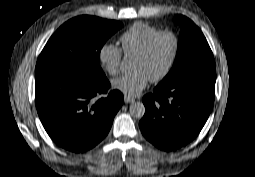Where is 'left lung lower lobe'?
<instances>
[{"label":"left lung lower lobe","instance_id":"obj_1","mask_svg":"<svg viewBox=\"0 0 255 177\" xmlns=\"http://www.w3.org/2000/svg\"><path fill=\"white\" fill-rule=\"evenodd\" d=\"M216 73H200L143 97L146 111L139 126L156 147L171 151L192 141L214 103Z\"/></svg>","mask_w":255,"mask_h":177}]
</instances>
